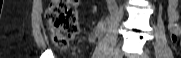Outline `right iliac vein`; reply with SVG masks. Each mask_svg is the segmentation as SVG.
Returning <instances> with one entry per match:
<instances>
[{
	"label": "right iliac vein",
	"mask_w": 181,
	"mask_h": 58,
	"mask_svg": "<svg viewBox=\"0 0 181 58\" xmlns=\"http://www.w3.org/2000/svg\"><path fill=\"white\" fill-rule=\"evenodd\" d=\"M121 57V49L120 47H116L114 52H113V57L112 58H120Z\"/></svg>",
	"instance_id": "63e3f726"
}]
</instances>
